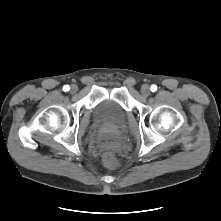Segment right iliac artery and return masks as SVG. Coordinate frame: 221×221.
Wrapping results in <instances>:
<instances>
[{
	"instance_id": "obj_1",
	"label": "right iliac artery",
	"mask_w": 221,
	"mask_h": 221,
	"mask_svg": "<svg viewBox=\"0 0 221 221\" xmlns=\"http://www.w3.org/2000/svg\"><path fill=\"white\" fill-rule=\"evenodd\" d=\"M63 90L66 92V91H69L70 90V87H69V85H65V86H63Z\"/></svg>"
}]
</instances>
